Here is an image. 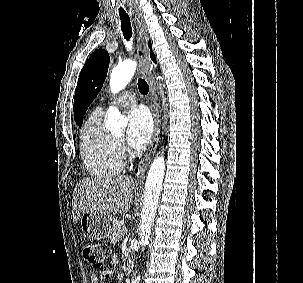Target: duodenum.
<instances>
[{
    "mask_svg": "<svg viewBox=\"0 0 303 283\" xmlns=\"http://www.w3.org/2000/svg\"><path fill=\"white\" fill-rule=\"evenodd\" d=\"M133 269V264L131 262H129L127 265H126V271L127 272H131V270Z\"/></svg>",
    "mask_w": 303,
    "mask_h": 283,
    "instance_id": "duodenum-1",
    "label": "duodenum"
}]
</instances>
